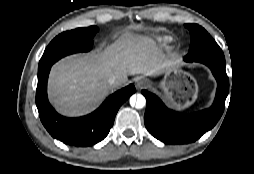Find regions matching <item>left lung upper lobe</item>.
Returning <instances> with one entry per match:
<instances>
[{
  "mask_svg": "<svg viewBox=\"0 0 254 174\" xmlns=\"http://www.w3.org/2000/svg\"><path fill=\"white\" fill-rule=\"evenodd\" d=\"M190 31L191 45L185 60H216L225 63L224 54L207 31L197 24H185Z\"/></svg>",
  "mask_w": 254,
  "mask_h": 174,
  "instance_id": "obj_1",
  "label": "left lung upper lobe"
}]
</instances>
